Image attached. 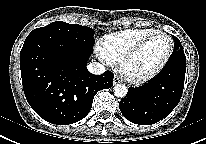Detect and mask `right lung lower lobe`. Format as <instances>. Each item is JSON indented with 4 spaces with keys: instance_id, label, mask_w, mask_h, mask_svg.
Instances as JSON below:
<instances>
[{
    "instance_id": "right-lung-lower-lobe-1",
    "label": "right lung lower lobe",
    "mask_w": 206,
    "mask_h": 144,
    "mask_svg": "<svg viewBox=\"0 0 206 144\" xmlns=\"http://www.w3.org/2000/svg\"><path fill=\"white\" fill-rule=\"evenodd\" d=\"M92 50L37 39L20 52L22 85L32 109L44 120L68 125L82 120L102 89L113 86V73L91 74L86 67Z\"/></svg>"
}]
</instances>
